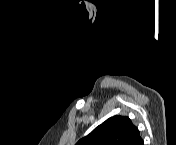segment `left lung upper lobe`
Instances as JSON below:
<instances>
[{"label": "left lung upper lobe", "instance_id": "1", "mask_svg": "<svg viewBox=\"0 0 176 145\" xmlns=\"http://www.w3.org/2000/svg\"><path fill=\"white\" fill-rule=\"evenodd\" d=\"M76 145H143L139 130L128 117L107 119Z\"/></svg>", "mask_w": 176, "mask_h": 145}]
</instances>
